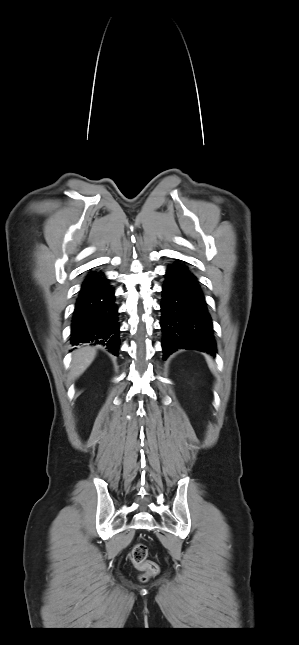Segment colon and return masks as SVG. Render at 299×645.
<instances>
[{"mask_svg": "<svg viewBox=\"0 0 299 645\" xmlns=\"http://www.w3.org/2000/svg\"><path fill=\"white\" fill-rule=\"evenodd\" d=\"M129 556L133 565L143 572L141 576L142 580H146L147 578L155 576L158 573V565L155 562L147 559L148 549L145 544L136 543L133 546Z\"/></svg>", "mask_w": 299, "mask_h": 645, "instance_id": "colon-1", "label": "colon"}]
</instances>
